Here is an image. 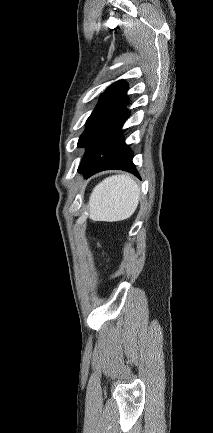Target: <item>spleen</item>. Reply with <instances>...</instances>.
Returning <instances> with one entry per match:
<instances>
[{
    "instance_id": "3e777b00",
    "label": "spleen",
    "mask_w": 213,
    "mask_h": 433,
    "mask_svg": "<svg viewBox=\"0 0 213 433\" xmlns=\"http://www.w3.org/2000/svg\"><path fill=\"white\" fill-rule=\"evenodd\" d=\"M140 188L127 174L104 179L89 199V217L93 221L116 222L128 219L137 209Z\"/></svg>"
}]
</instances>
